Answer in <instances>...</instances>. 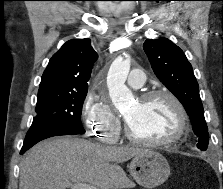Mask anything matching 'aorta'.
Returning a JSON list of instances; mask_svg holds the SVG:
<instances>
[{
  "instance_id": "762f6f07",
  "label": "aorta",
  "mask_w": 223,
  "mask_h": 189,
  "mask_svg": "<svg viewBox=\"0 0 223 189\" xmlns=\"http://www.w3.org/2000/svg\"><path fill=\"white\" fill-rule=\"evenodd\" d=\"M129 71L130 57L119 56L111 64L107 75L109 96L118 110L129 107L133 101L132 92L125 85Z\"/></svg>"
}]
</instances>
